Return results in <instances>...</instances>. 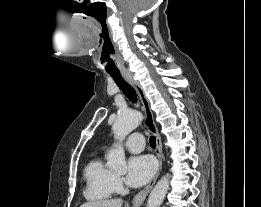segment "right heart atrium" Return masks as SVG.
Instances as JSON below:
<instances>
[{"mask_svg": "<svg viewBox=\"0 0 261 207\" xmlns=\"http://www.w3.org/2000/svg\"><path fill=\"white\" fill-rule=\"evenodd\" d=\"M114 188L115 191H121L123 189V182L121 180V178L115 176L114 177Z\"/></svg>", "mask_w": 261, "mask_h": 207, "instance_id": "right-heart-atrium-1", "label": "right heart atrium"}]
</instances>
